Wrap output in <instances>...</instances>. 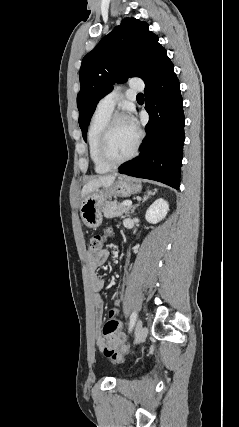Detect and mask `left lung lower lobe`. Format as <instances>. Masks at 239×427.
<instances>
[{
  "mask_svg": "<svg viewBox=\"0 0 239 427\" xmlns=\"http://www.w3.org/2000/svg\"><path fill=\"white\" fill-rule=\"evenodd\" d=\"M173 69L169 61L145 83V109L149 113L146 137L140 155L123 163L119 173L179 189L185 118L180 83Z\"/></svg>",
  "mask_w": 239,
  "mask_h": 427,
  "instance_id": "obj_1",
  "label": "left lung lower lobe"
}]
</instances>
